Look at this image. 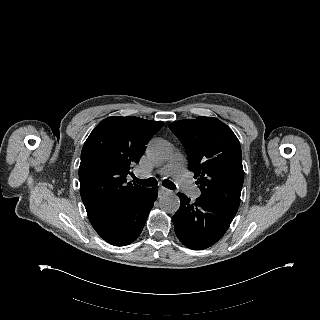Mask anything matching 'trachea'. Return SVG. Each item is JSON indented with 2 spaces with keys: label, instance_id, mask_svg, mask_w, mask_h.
Returning <instances> with one entry per match:
<instances>
[{
  "label": "trachea",
  "instance_id": "obj_1",
  "mask_svg": "<svg viewBox=\"0 0 320 320\" xmlns=\"http://www.w3.org/2000/svg\"><path fill=\"white\" fill-rule=\"evenodd\" d=\"M133 180H134V182H136L140 185H143V186H156L158 184V182L155 178H149V179L145 180V179H138V178L134 177ZM162 184L164 187L169 188V189L176 188V185L168 179H165Z\"/></svg>",
  "mask_w": 320,
  "mask_h": 320
}]
</instances>
